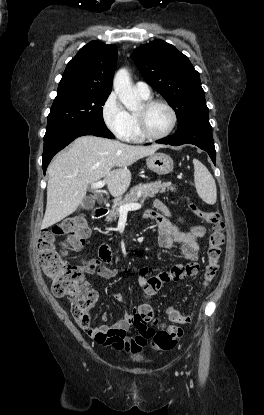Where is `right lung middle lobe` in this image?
Returning <instances> with one entry per match:
<instances>
[{"mask_svg":"<svg viewBox=\"0 0 264 415\" xmlns=\"http://www.w3.org/2000/svg\"><path fill=\"white\" fill-rule=\"evenodd\" d=\"M108 96L96 93L57 95L48 115L44 139L78 126H105L102 106Z\"/></svg>","mask_w":264,"mask_h":415,"instance_id":"obj_1","label":"right lung middle lobe"}]
</instances>
